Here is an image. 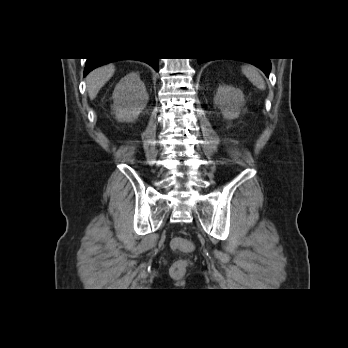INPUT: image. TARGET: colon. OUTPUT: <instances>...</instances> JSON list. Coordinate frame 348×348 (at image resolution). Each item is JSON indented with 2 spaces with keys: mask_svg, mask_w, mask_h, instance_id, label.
Wrapping results in <instances>:
<instances>
[{
  "mask_svg": "<svg viewBox=\"0 0 348 348\" xmlns=\"http://www.w3.org/2000/svg\"><path fill=\"white\" fill-rule=\"evenodd\" d=\"M170 245L174 251L181 253H189L193 250V244L183 237H173ZM187 266L188 261L186 259H180L172 265L171 274L173 276H180L185 272Z\"/></svg>",
  "mask_w": 348,
  "mask_h": 348,
  "instance_id": "5ec220e1",
  "label": "colon"
}]
</instances>
